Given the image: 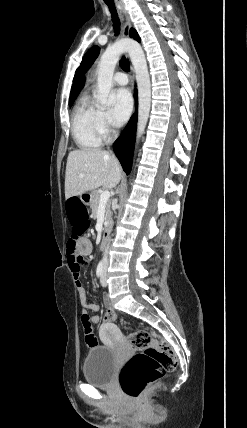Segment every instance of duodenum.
<instances>
[{"instance_id": "obj_1", "label": "duodenum", "mask_w": 247, "mask_h": 428, "mask_svg": "<svg viewBox=\"0 0 247 428\" xmlns=\"http://www.w3.org/2000/svg\"><path fill=\"white\" fill-rule=\"evenodd\" d=\"M109 232H110V224L109 222H106L105 225L103 226V230L101 233V240H100V247L104 248L109 236Z\"/></svg>"}]
</instances>
